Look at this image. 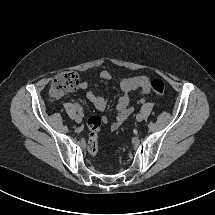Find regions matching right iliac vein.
Returning a JSON list of instances; mask_svg holds the SVG:
<instances>
[{
    "label": "right iliac vein",
    "mask_w": 215,
    "mask_h": 215,
    "mask_svg": "<svg viewBox=\"0 0 215 215\" xmlns=\"http://www.w3.org/2000/svg\"><path fill=\"white\" fill-rule=\"evenodd\" d=\"M75 121H76L77 123H81V122H82V117H81L80 115H76V116H75Z\"/></svg>",
    "instance_id": "63e3f726"
}]
</instances>
